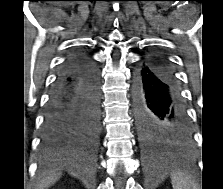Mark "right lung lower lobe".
<instances>
[{
    "label": "right lung lower lobe",
    "instance_id": "obj_1",
    "mask_svg": "<svg viewBox=\"0 0 223 189\" xmlns=\"http://www.w3.org/2000/svg\"><path fill=\"white\" fill-rule=\"evenodd\" d=\"M100 127L98 69L84 53L71 55L51 89L41 135L45 152L94 149Z\"/></svg>",
    "mask_w": 223,
    "mask_h": 189
}]
</instances>
